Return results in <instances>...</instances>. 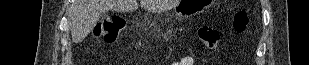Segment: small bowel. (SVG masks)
I'll return each mask as SVG.
<instances>
[{
  "label": "small bowel",
  "instance_id": "1",
  "mask_svg": "<svg viewBox=\"0 0 309 65\" xmlns=\"http://www.w3.org/2000/svg\"><path fill=\"white\" fill-rule=\"evenodd\" d=\"M193 59L191 57H183L179 61L172 63L171 65H193Z\"/></svg>",
  "mask_w": 309,
  "mask_h": 65
}]
</instances>
